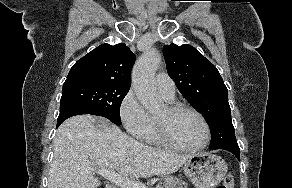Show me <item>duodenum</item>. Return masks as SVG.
Wrapping results in <instances>:
<instances>
[{"mask_svg":"<svg viewBox=\"0 0 292 188\" xmlns=\"http://www.w3.org/2000/svg\"><path fill=\"white\" fill-rule=\"evenodd\" d=\"M105 188H115L114 186H110V185H108V186H106Z\"/></svg>","mask_w":292,"mask_h":188,"instance_id":"duodenum-1","label":"duodenum"}]
</instances>
